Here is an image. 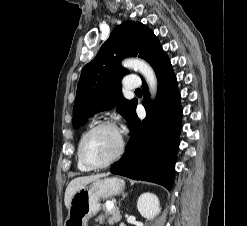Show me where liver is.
<instances>
[{
    "label": "liver",
    "mask_w": 247,
    "mask_h": 226,
    "mask_svg": "<svg viewBox=\"0 0 247 226\" xmlns=\"http://www.w3.org/2000/svg\"><path fill=\"white\" fill-rule=\"evenodd\" d=\"M106 174H96V175H90V176H82V177H77L75 179H73L69 185L66 188L65 191V197H64V202H65V206L67 207V209H69L70 206V201L72 196L74 195V193L80 189L81 187H83L86 184L91 183L92 181L105 177Z\"/></svg>",
    "instance_id": "1"
}]
</instances>
